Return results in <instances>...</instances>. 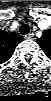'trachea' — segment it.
<instances>
[{"instance_id": "trachea-1", "label": "trachea", "mask_w": 51, "mask_h": 101, "mask_svg": "<svg viewBox=\"0 0 51 101\" xmlns=\"http://www.w3.org/2000/svg\"><path fill=\"white\" fill-rule=\"evenodd\" d=\"M30 31V26L28 24H22L20 27V33L25 35L28 34Z\"/></svg>"}]
</instances>
